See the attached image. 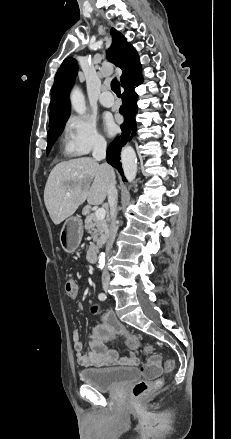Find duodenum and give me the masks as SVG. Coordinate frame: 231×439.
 <instances>
[{
    "label": "duodenum",
    "instance_id": "duodenum-1",
    "mask_svg": "<svg viewBox=\"0 0 231 439\" xmlns=\"http://www.w3.org/2000/svg\"><path fill=\"white\" fill-rule=\"evenodd\" d=\"M86 259L89 263L94 264L97 261V249L95 247H91L88 249L86 254Z\"/></svg>",
    "mask_w": 231,
    "mask_h": 439
}]
</instances>
